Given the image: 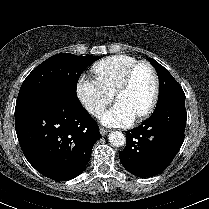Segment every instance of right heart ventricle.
<instances>
[{
	"label": "right heart ventricle",
	"mask_w": 209,
	"mask_h": 209,
	"mask_svg": "<svg viewBox=\"0 0 209 209\" xmlns=\"http://www.w3.org/2000/svg\"><path fill=\"white\" fill-rule=\"evenodd\" d=\"M139 60L128 55H115L102 59L93 66L96 78L114 92L126 72Z\"/></svg>",
	"instance_id": "right-heart-ventricle-1"
}]
</instances>
